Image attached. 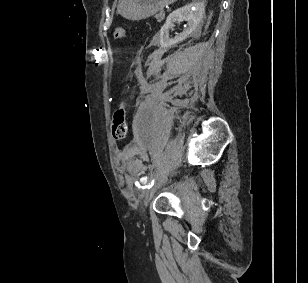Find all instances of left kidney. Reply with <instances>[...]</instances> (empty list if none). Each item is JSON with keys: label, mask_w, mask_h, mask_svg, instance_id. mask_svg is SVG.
Returning a JSON list of instances; mask_svg holds the SVG:
<instances>
[{"label": "left kidney", "mask_w": 308, "mask_h": 283, "mask_svg": "<svg viewBox=\"0 0 308 283\" xmlns=\"http://www.w3.org/2000/svg\"><path fill=\"white\" fill-rule=\"evenodd\" d=\"M205 14L204 0H194L192 3L173 11L166 19L165 24L159 31V44L163 48L170 47L188 37L199 25ZM187 22L183 32L174 38H169L170 29L174 28L175 22Z\"/></svg>", "instance_id": "1"}]
</instances>
